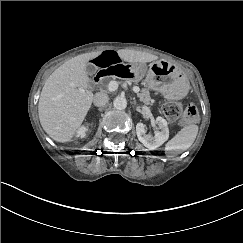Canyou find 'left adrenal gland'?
Masks as SVG:
<instances>
[{"instance_id": "obj_1", "label": "left adrenal gland", "mask_w": 243, "mask_h": 243, "mask_svg": "<svg viewBox=\"0 0 243 243\" xmlns=\"http://www.w3.org/2000/svg\"><path fill=\"white\" fill-rule=\"evenodd\" d=\"M137 103V101H136V99L134 98V104H136ZM140 105H142V103H140Z\"/></svg>"}]
</instances>
